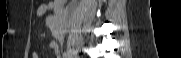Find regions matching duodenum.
Instances as JSON below:
<instances>
[{"instance_id": "1", "label": "duodenum", "mask_w": 181, "mask_h": 58, "mask_svg": "<svg viewBox=\"0 0 181 58\" xmlns=\"http://www.w3.org/2000/svg\"><path fill=\"white\" fill-rule=\"evenodd\" d=\"M65 0H56L54 1L55 10L59 13H62L65 11Z\"/></svg>"}]
</instances>
